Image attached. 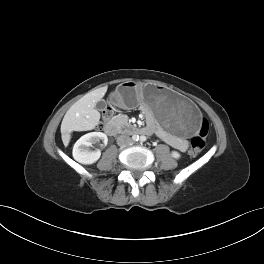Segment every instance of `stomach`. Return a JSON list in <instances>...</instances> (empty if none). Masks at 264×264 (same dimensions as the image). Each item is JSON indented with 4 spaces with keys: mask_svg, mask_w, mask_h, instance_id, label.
<instances>
[{
    "mask_svg": "<svg viewBox=\"0 0 264 264\" xmlns=\"http://www.w3.org/2000/svg\"><path fill=\"white\" fill-rule=\"evenodd\" d=\"M112 102L124 108L141 105L172 134L195 137L199 131V110L177 92L157 83H121L110 96Z\"/></svg>",
    "mask_w": 264,
    "mask_h": 264,
    "instance_id": "stomach-1",
    "label": "stomach"
}]
</instances>
